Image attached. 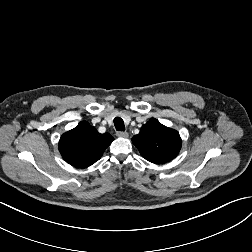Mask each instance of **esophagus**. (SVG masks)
I'll list each match as a JSON object with an SVG mask.
<instances>
[{"label":"esophagus","mask_w":252,"mask_h":252,"mask_svg":"<svg viewBox=\"0 0 252 252\" xmlns=\"http://www.w3.org/2000/svg\"><path fill=\"white\" fill-rule=\"evenodd\" d=\"M116 135L118 137H123V138H127L128 137V133L127 132H124V131H117L116 132Z\"/></svg>","instance_id":"obj_1"}]
</instances>
